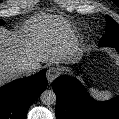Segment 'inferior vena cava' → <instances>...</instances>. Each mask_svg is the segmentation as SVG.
I'll return each mask as SVG.
<instances>
[{"label": "inferior vena cava", "instance_id": "1", "mask_svg": "<svg viewBox=\"0 0 119 119\" xmlns=\"http://www.w3.org/2000/svg\"><path fill=\"white\" fill-rule=\"evenodd\" d=\"M37 66L31 65V66H23L20 68V72L24 75V76H28L32 73H34L35 71H37Z\"/></svg>", "mask_w": 119, "mask_h": 119}]
</instances>
